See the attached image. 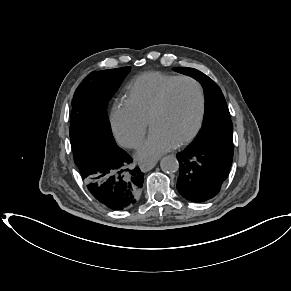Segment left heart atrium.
I'll use <instances>...</instances> for the list:
<instances>
[{
	"instance_id": "left-heart-atrium-1",
	"label": "left heart atrium",
	"mask_w": 291,
	"mask_h": 291,
	"mask_svg": "<svg viewBox=\"0 0 291 291\" xmlns=\"http://www.w3.org/2000/svg\"><path fill=\"white\" fill-rule=\"evenodd\" d=\"M176 142L166 134L152 130L149 137L139 147L136 158L142 163H150L176 147Z\"/></svg>"
}]
</instances>
